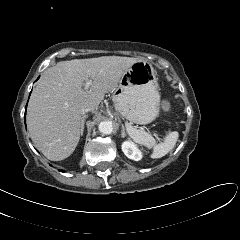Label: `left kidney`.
<instances>
[{
	"mask_svg": "<svg viewBox=\"0 0 240 240\" xmlns=\"http://www.w3.org/2000/svg\"><path fill=\"white\" fill-rule=\"evenodd\" d=\"M122 151L129 159L139 161L142 158L141 151L131 141H125L122 143Z\"/></svg>",
	"mask_w": 240,
	"mask_h": 240,
	"instance_id": "obj_1",
	"label": "left kidney"
}]
</instances>
